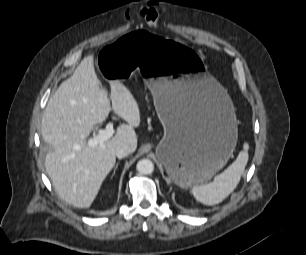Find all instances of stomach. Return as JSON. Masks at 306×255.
<instances>
[{"label": "stomach", "instance_id": "0dacf381", "mask_svg": "<svg viewBox=\"0 0 306 255\" xmlns=\"http://www.w3.org/2000/svg\"><path fill=\"white\" fill-rule=\"evenodd\" d=\"M97 65L109 80L144 76L164 128L156 154L177 186L206 183L226 164L237 142L235 108L194 50L132 31L101 52Z\"/></svg>", "mask_w": 306, "mask_h": 255}]
</instances>
